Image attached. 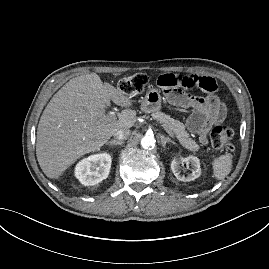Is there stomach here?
<instances>
[{
	"label": "stomach",
	"instance_id": "obj_1",
	"mask_svg": "<svg viewBox=\"0 0 269 269\" xmlns=\"http://www.w3.org/2000/svg\"><path fill=\"white\" fill-rule=\"evenodd\" d=\"M162 96L157 89L147 91L141 103V109L146 113L156 112L161 109Z\"/></svg>",
	"mask_w": 269,
	"mask_h": 269
}]
</instances>
